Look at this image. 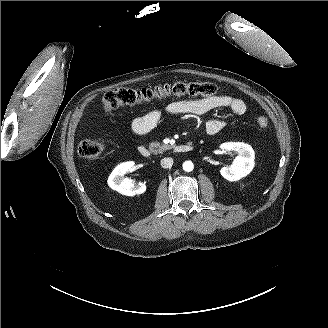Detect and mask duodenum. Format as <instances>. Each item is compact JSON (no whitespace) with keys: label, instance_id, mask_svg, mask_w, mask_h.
<instances>
[{"label":"duodenum","instance_id":"1","mask_svg":"<svg viewBox=\"0 0 328 328\" xmlns=\"http://www.w3.org/2000/svg\"><path fill=\"white\" fill-rule=\"evenodd\" d=\"M193 147L187 144H180L173 148L176 153H188L192 151ZM139 154L144 158H150L152 156V151L144 145L138 147Z\"/></svg>","mask_w":328,"mask_h":328}]
</instances>
